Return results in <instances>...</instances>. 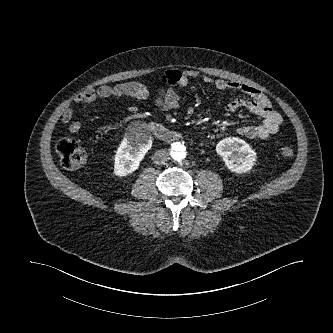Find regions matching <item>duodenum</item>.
<instances>
[{"label":"duodenum","mask_w":333,"mask_h":333,"mask_svg":"<svg viewBox=\"0 0 333 333\" xmlns=\"http://www.w3.org/2000/svg\"><path fill=\"white\" fill-rule=\"evenodd\" d=\"M148 129L158 139L165 142H173L182 138L180 133L169 129L160 123L152 122L149 124Z\"/></svg>","instance_id":"1"}]
</instances>
